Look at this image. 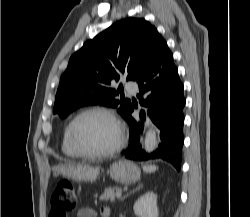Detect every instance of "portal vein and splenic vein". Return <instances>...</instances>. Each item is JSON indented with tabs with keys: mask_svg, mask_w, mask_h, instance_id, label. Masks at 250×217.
Returning a JSON list of instances; mask_svg holds the SVG:
<instances>
[{
	"mask_svg": "<svg viewBox=\"0 0 250 217\" xmlns=\"http://www.w3.org/2000/svg\"><path fill=\"white\" fill-rule=\"evenodd\" d=\"M121 195H122L121 192L117 193V197H121Z\"/></svg>",
	"mask_w": 250,
	"mask_h": 217,
	"instance_id": "18ae733b",
	"label": "portal vein and splenic vein"
}]
</instances>
